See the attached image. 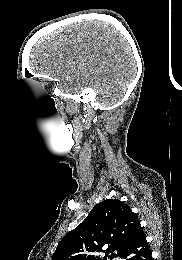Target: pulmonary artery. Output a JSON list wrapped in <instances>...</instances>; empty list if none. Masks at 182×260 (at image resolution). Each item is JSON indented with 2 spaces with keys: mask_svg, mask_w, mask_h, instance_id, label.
Instances as JSON below:
<instances>
[{
  "mask_svg": "<svg viewBox=\"0 0 182 260\" xmlns=\"http://www.w3.org/2000/svg\"><path fill=\"white\" fill-rule=\"evenodd\" d=\"M113 260H121V259L115 258V259H113Z\"/></svg>",
  "mask_w": 182,
  "mask_h": 260,
  "instance_id": "e3ab8cb5",
  "label": "pulmonary artery"
}]
</instances>
